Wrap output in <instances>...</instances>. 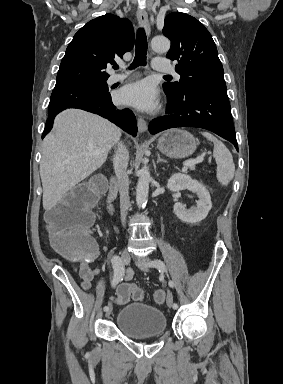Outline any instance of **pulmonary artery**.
<instances>
[{
  "label": "pulmonary artery",
  "mask_w": 283,
  "mask_h": 384,
  "mask_svg": "<svg viewBox=\"0 0 283 384\" xmlns=\"http://www.w3.org/2000/svg\"><path fill=\"white\" fill-rule=\"evenodd\" d=\"M120 67L125 68V65L120 64ZM153 68L156 71H167L168 75H176L177 78L180 77V75L176 73V69L173 67V64H171L170 61H154ZM128 75H129L128 71L111 74L107 79V83L114 84L118 81L125 79Z\"/></svg>",
  "instance_id": "e3ab8cb5"
}]
</instances>
